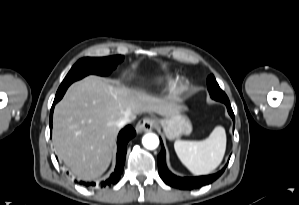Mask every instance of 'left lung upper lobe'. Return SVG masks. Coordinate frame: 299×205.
<instances>
[{
    "label": "left lung upper lobe",
    "instance_id": "1",
    "mask_svg": "<svg viewBox=\"0 0 299 205\" xmlns=\"http://www.w3.org/2000/svg\"><path fill=\"white\" fill-rule=\"evenodd\" d=\"M207 84H208V90L211 95V98L217 101L228 99L227 95L221 90L213 75H210L208 77Z\"/></svg>",
    "mask_w": 299,
    "mask_h": 205
}]
</instances>
